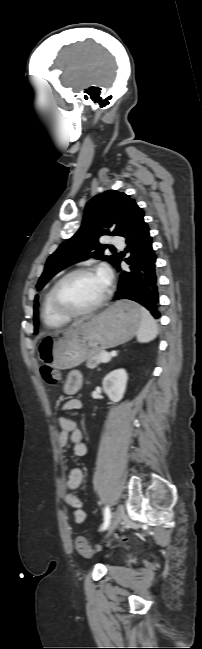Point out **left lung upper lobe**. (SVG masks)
I'll use <instances>...</instances> for the list:
<instances>
[{"label":"left lung upper lobe","instance_id":"obj_1","mask_svg":"<svg viewBox=\"0 0 202 649\" xmlns=\"http://www.w3.org/2000/svg\"><path fill=\"white\" fill-rule=\"evenodd\" d=\"M143 216V210L134 199L123 192L108 190L93 197L86 205L82 226L78 232L63 242L48 258L37 289L41 290L62 269L89 257H103L114 264L119 254L103 256L106 247L99 243V238L103 235L123 236L133 221ZM34 302V334H37L38 296H35Z\"/></svg>","mask_w":202,"mask_h":649}]
</instances>
